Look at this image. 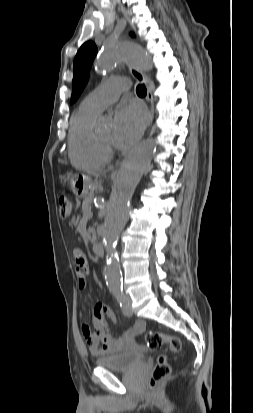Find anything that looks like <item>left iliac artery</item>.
I'll return each instance as SVG.
<instances>
[{
	"mask_svg": "<svg viewBox=\"0 0 253 413\" xmlns=\"http://www.w3.org/2000/svg\"><path fill=\"white\" fill-rule=\"evenodd\" d=\"M112 293L116 297L121 308H125L128 305V300L126 296L124 295L122 288L114 289Z\"/></svg>",
	"mask_w": 253,
	"mask_h": 413,
	"instance_id": "left-iliac-artery-1",
	"label": "left iliac artery"
}]
</instances>
